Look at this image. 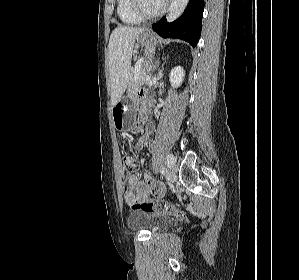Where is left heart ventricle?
Masks as SVG:
<instances>
[{
    "label": "left heart ventricle",
    "instance_id": "obj_1",
    "mask_svg": "<svg viewBox=\"0 0 299 280\" xmlns=\"http://www.w3.org/2000/svg\"><path fill=\"white\" fill-rule=\"evenodd\" d=\"M164 0H141V6L147 13H155L163 5Z\"/></svg>",
    "mask_w": 299,
    "mask_h": 280
}]
</instances>
